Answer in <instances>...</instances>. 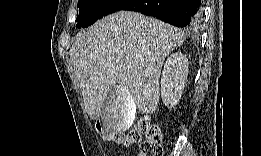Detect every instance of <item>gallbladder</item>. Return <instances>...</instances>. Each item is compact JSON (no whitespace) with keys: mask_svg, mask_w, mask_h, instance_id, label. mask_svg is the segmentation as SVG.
Instances as JSON below:
<instances>
[{"mask_svg":"<svg viewBox=\"0 0 261 156\" xmlns=\"http://www.w3.org/2000/svg\"><path fill=\"white\" fill-rule=\"evenodd\" d=\"M124 86V85H117ZM112 93L107 94L103 102L101 120L103 125L109 130L116 132L129 129L135 119L136 102L132 100L129 89L116 88Z\"/></svg>","mask_w":261,"mask_h":156,"instance_id":"obj_1","label":"gallbladder"}]
</instances>
